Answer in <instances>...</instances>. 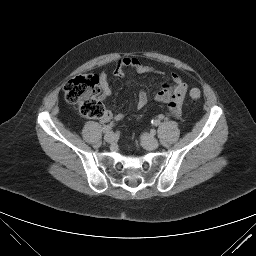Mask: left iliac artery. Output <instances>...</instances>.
<instances>
[{
	"mask_svg": "<svg viewBox=\"0 0 256 256\" xmlns=\"http://www.w3.org/2000/svg\"><path fill=\"white\" fill-rule=\"evenodd\" d=\"M152 123L155 125V126H158L160 124V120H152Z\"/></svg>",
	"mask_w": 256,
	"mask_h": 256,
	"instance_id": "1",
	"label": "left iliac artery"
}]
</instances>
